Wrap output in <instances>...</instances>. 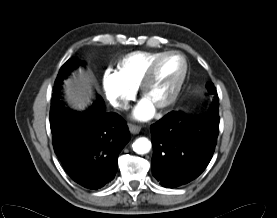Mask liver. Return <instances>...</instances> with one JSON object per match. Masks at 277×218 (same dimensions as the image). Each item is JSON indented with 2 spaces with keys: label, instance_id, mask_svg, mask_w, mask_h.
Segmentation results:
<instances>
[{
  "label": "liver",
  "instance_id": "1",
  "mask_svg": "<svg viewBox=\"0 0 277 218\" xmlns=\"http://www.w3.org/2000/svg\"><path fill=\"white\" fill-rule=\"evenodd\" d=\"M91 76L82 70H79V76L73 81L66 82V100L78 110H83L91 101Z\"/></svg>",
  "mask_w": 277,
  "mask_h": 218
}]
</instances>
